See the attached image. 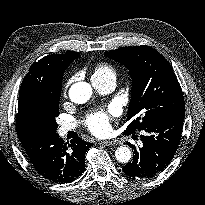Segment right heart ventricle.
Wrapping results in <instances>:
<instances>
[{"mask_svg": "<svg viewBox=\"0 0 205 205\" xmlns=\"http://www.w3.org/2000/svg\"><path fill=\"white\" fill-rule=\"evenodd\" d=\"M109 76L116 77L115 68L108 63H99L92 73L91 79H101Z\"/></svg>", "mask_w": 205, "mask_h": 205, "instance_id": "right-heart-ventricle-1", "label": "right heart ventricle"}]
</instances>
